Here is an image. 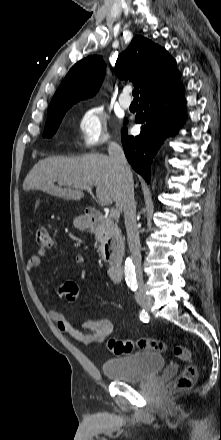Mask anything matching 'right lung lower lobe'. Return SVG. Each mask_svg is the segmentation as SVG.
I'll use <instances>...</instances> for the list:
<instances>
[{
    "label": "right lung lower lobe",
    "mask_w": 221,
    "mask_h": 440,
    "mask_svg": "<svg viewBox=\"0 0 221 440\" xmlns=\"http://www.w3.org/2000/svg\"><path fill=\"white\" fill-rule=\"evenodd\" d=\"M184 88L180 79L170 86L140 98L136 123L142 124L139 136H129L122 129L121 141L125 155L147 183L150 181L152 158L164 140L175 135L183 124L185 113Z\"/></svg>",
    "instance_id": "1"
}]
</instances>
